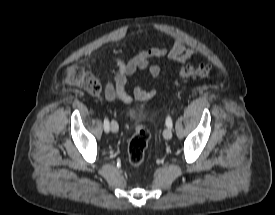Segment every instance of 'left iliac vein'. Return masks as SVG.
I'll use <instances>...</instances> for the list:
<instances>
[{"mask_svg":"<svg viewBox=\"0 0 275 215\" xmlns=\"http://www.w3.org/2000/svg\"><path fill=\"white\" fill-rule=\"evenodd\" d=\"M163 136L165 139L169 140L172 138V128L171 127H167L164 132H163Z\"/></svg>","mask_w":275,"mask_h":215,"instance_id":"left-iliac-vein-1","label":"left iliac vein"}]
</instances>
